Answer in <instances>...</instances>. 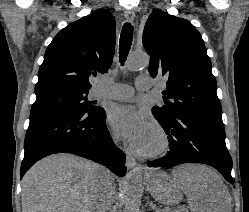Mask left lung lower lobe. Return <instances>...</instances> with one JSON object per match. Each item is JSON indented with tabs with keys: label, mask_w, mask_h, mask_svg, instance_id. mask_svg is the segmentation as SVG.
<instances>
[{
	"label": "left lung lower lobe",
	"mask_w": 249,
	"mask_h": 212,
	"mask_svg": "<svg viewBox=\"0 0 249 212\" xmlns=\"http://www.w3.org/2000/svg\"><path fill=\"white\" fill-rule=\"evenodd\" d=\"M154 117L168 135L170 151L167 156L148 163V167L203 163L217 169L233 184L232 159L225 144L221 114L190 111L169 119Z\"/></svg>",
	"instance_id": "left-lung-lower-lobe-1"
}]
</instances>
